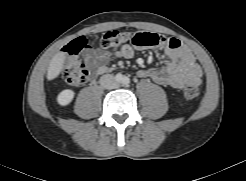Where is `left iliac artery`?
Wrapping results in <instances>:
<instances>
[{"label":"left iliac artery","instance_id":"44dca946","mask_svg":"<svg viewBox=\"0 0 246 181\" xmlns=\"http://www.w3.org/2000/svg\"><path fill=\"white\" fill-rule=\"evenodd\" d=\"M123 83H124L125 85L129 84V83H130V79H129L128 77H124V78H123Z\"/></svg>","mask_w":246,"mask_h":181}]
</instances>
